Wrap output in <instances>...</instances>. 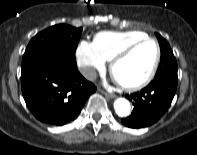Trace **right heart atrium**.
Returning <instances> with one entry per match:
<instances>
[{
  "label": "right heart atrium",
  "mask_w": 197,
  "mask_h": 155,
  "mask_svg": "<svg viewBox=\"0 0 197 155\" xmlns=\"http://www.w3.org/2000/svg\"><path fill=\"white\" fill-rule=\"evenodd\" d=\"M76 58L82 75L88 79L94 76L96 70H102L106 63L94 43L87 40L78 44Z\"/></svg>",
  "instance_id": "obj_1"
}]
</instances>
